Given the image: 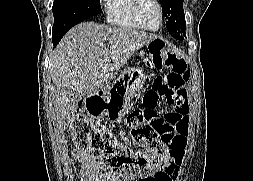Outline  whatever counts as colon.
Returning a JSON list of instances; mask_svg holds the SVG:
<instances>
[{
    "instance_id": "obj_1",
    "label": "colon",
    "mask_w": 253,
    "mask_h": 181,
    "mask_svg": "<svg viewBox=\"0 0 253 181\" xmlns=\"http://www.w3.org/2000/svg\"><path fill=\"white\" fill-rule=\"evenodd\" d=\"M149 55H154L157 66L169 71L158 77L144 98V108L132 110L126 118L131 139L142 150H132L103 126L79 116L72 125L73 137L79 149L90 155L105 171L134 176L143 174L151 167H163L175 153V125L181 116H187L186 84L189 70L180 47H168L161 38L148 42ZM161 103L169 110L164 116L157 112Z\"/></svg>"
}]
</instances>
